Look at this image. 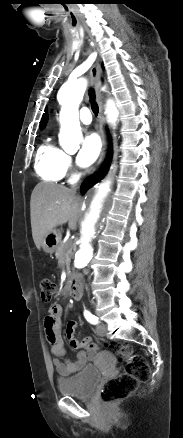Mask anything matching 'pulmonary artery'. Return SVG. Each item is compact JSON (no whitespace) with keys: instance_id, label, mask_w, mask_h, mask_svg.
Returning <instances> with one entry per match:
<instances>
[{"instance_id":"obj_1","label":"pulmonary artery","mask_w":183,"mask_h":438,"mask_svg":"<svg viewBox=\"0 0 183 438\" xmlns=\"http://www.w3.org/2000/svg\"><path fill=\"white\" fill-rule=\"evenodd\" d=\"M80 121L84 124H90L92 121L91 112L87 107L81 108L79 112Z\"/></svg>"}]
</instances>
